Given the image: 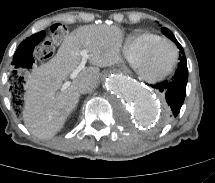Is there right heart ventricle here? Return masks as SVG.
I'll use <instances>...</instances> for the list:
<instances>
[{"label": "right heart ventricle", "mask_w": 215, "mask_h": 183, "mask_svg": "<svg viewBox=\"0 0 215 183\" xmlns=\"http://www.w3.org/2000/svg\"><path fill=\"white\" fill-rule=\"evenodd\" d=\"M161 38L151 32H134L129 35L124 43L123 53L131 66L149 45Z\"/></svg>", "instance_id": "obj_1"}]
</instances>
